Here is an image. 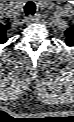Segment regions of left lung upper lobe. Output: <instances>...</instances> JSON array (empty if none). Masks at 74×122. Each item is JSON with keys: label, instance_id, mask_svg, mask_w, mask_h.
<instances>
[{"label": "left lung upper lobe", "instance_id": "left-lung-upper-lobe-1", "mask_svg": "<svg viewBox=\"0 0 74 122\" xmlns=\"http://www.w3.org/2000/svg\"><path fill=\"white\" fill-rule=\"evenodd\" d=\"M65 42L67 46H74V27H71L65 31Z\"/></svg>", "mask_w": 74, "mask_h": 122}]
</instances>
